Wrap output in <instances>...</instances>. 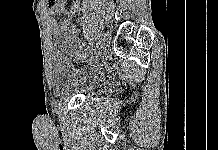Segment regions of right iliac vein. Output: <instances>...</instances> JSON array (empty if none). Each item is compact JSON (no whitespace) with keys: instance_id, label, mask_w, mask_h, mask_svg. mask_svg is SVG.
Wrapping results in <instances>:
<instances>
[{"instance_id":"63e3f726","label":"right iliac vein","mask_w":218,"mask_h":150,"mask_svg":"<svg viewBox=\"0 0 218 150\" xmlns=\"http://www.w3.org/2000/svg\"><path fill=\"white\" fill-rule=\"evenodd\" d=\"M110 40V35L108 33H105L102 37H99L98 40L95 41L94 44H90V47H88V49L86 50V56L88 57L92 52L93 49H95V47L98 46H103V44L108 43Z\"/></svg>"}]
</instances>
